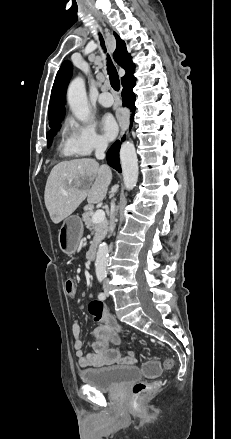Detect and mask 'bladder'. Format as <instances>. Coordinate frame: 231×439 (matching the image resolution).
Wrapping results in <instances>:
<instances>
[{"label": "bladder", "instance_id": "bladder-1", "mask_svg": "<svg viewBox=\"0 0 231 439\" xmlns=\"http://www.w3.org/2000/svg\"><path fill=\"white\" fill-rule=\"evenodd\" d=\"M79 377L84 384L97 390L114 391L127 383L138 380L140 371L135 366H113L82 370Z\"/></svg>", "mask_w": 231, "mask_h": 439}]
</instances>
